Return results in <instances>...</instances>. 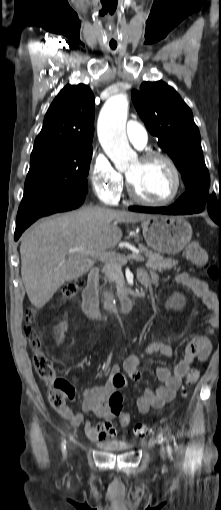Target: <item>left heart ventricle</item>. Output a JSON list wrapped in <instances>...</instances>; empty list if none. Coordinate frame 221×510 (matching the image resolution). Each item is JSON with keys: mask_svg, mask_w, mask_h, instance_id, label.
I'll return each mask as SVG.
<instances>
[{"mask_svg": "<svg viewBox=\"0 0 221 510\" xmlns=\"http://www.w3.org/2000/svg\"><path fill=\"white\" fill-rule=\"evenodd\" d=\"M137 193L149 200H162L174 189V175L162 160L142 162L137 159L126 172Z\"/></svg>", "mask_w": 221, "mask_h": 510, "instance_id": "obj_1", "label": "left heart ventricle"}]
</instances>
